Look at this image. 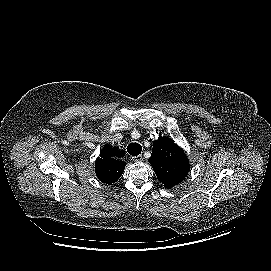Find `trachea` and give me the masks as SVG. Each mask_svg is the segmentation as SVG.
I'll use <instances>...</instances> for the list:
<instances>
[{"instance_id":"1","label":"trachea","mask_w":271,"mask_h":271,"mask_svg":"<svg viewBox=\"0 0 271 271\" xmlns=\"http://www.w3.org/2000/svg\"><path fill=\"white\" fill-rule=\"evenodd\" d=\"M127 151L132 156H138L142 151V146L139 143H130L127 146Z\"/></svg>"}]
</instances>
